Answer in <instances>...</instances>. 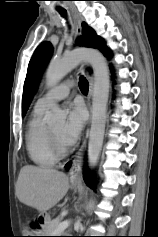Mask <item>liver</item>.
Segmentation results:
<instances>
[{
  "mask_svg": "<svg viewBox=\"0 0 158 237\" xmlns=\"http://www.w3.org/2000/svg\"><path fill=\"white\" fill-rule=\"evenodd\" d=\"M68 177L55 169L25 165L16 183V196L20 202L46 212L67 193Z\"/></svg>",
  "mask_w": 158,
  "mask_h": 237,
  "instance_id": "1",
  "label": "liver"
}]
</instances>
